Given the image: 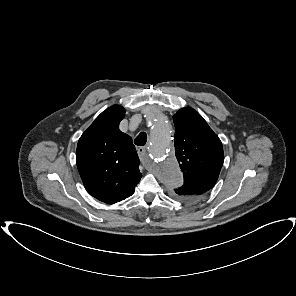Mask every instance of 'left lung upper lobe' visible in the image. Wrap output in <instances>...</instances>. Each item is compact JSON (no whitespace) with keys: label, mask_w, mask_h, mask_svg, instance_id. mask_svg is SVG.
<instances>
[{"label":"left lung upper lobe","mask_w":296,"mask_h":296,"mask_svg":"<svg viewBox=\"0 0 296 296\" xmlns=\"http://www.w3.org/2000/svg\"><path fill=\"white\" fill-rule=\"evenodd\" d=\"M175 154L184 184L174 189V198L194 202L215 185L224 162L222 143L202 116L192 108L180 109L174 116Z\"/></svg>","instance_id":"1"}]
</instances>
